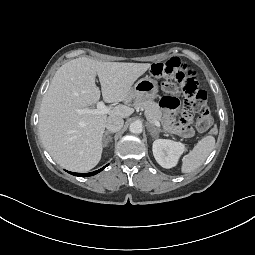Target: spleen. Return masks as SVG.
Here are the masks:
<instances>
[{
	"instance_id": "1",
	"label": "spleen",
	"mask_w": 255,
	"mask_h": 255,
	"mask_svg": "<svg viewBox=\"0 0 255 255\" xmlns=\"http://www.w3.org/2000/svg\"><path fill=\"white\" fill-rule=\"evenodd\" d=\"M215 147V138L211 135L203 137L194 148L182 159V173H190L200 167Z\"/></svg>"
}]
</instances>
